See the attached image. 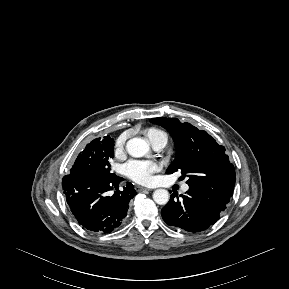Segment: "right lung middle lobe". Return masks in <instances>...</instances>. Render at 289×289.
<instances>
[{
	"label": "right lung middle lobe",
	"mask_w": 289,
	"mask_h": 289,
	"mask_svg": "<svg viewBox=\"0 0 289 289\" xmlns=\"http://www.w3.org/2000/svg\"><path fill=\"white\" fill-rule=\"evenodd\" d=\"M114 157V140L110 136L91 141L78 155L71 170L80 171L95 178H106L110 172V159Z\"/></svg>",
	"instance_id": "right-lung-middle-lobe-1"
}]
</instances>
